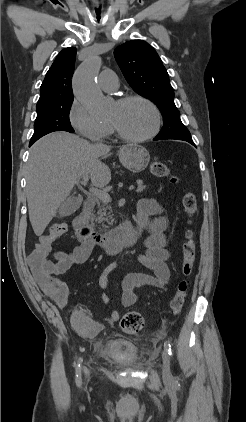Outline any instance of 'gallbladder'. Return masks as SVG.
<instances>
[{"label":"gallbladder","instance_id":"gallbladder-1","mask_svg":"<svg viewBox=\"0 0 246 422\" xmlns=\"http://www.w3.org/2000/svg\"><path fill=\"white\" fill-rule=\"evenodd\" d=\"M82 200L78 197L67 198L58 208V216L65 217L75 213L81 206Z\"/></svg>","mask_w":246,"mask_h":422}]
</instances>
